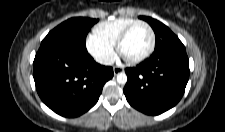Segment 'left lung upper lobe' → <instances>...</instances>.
<instances>
[{
    "label": "left lung upper lobe",
    "mask_w": 225,
    "mask_h": 132,
    "mask_svg": "<svg viewBox=\"0 0 225 132\" xmlns=\"http://www.w3.org/2000/svg\"><path fill=\"white\" fill-rule=\"evenodd\" d=\"M139 18L147 21L155 32V50L152 55L173 47L184 46L179 38L163 23L151 17L140 16Z\"/></svg>",
    "instance_id": "1"
}]
</instances>
